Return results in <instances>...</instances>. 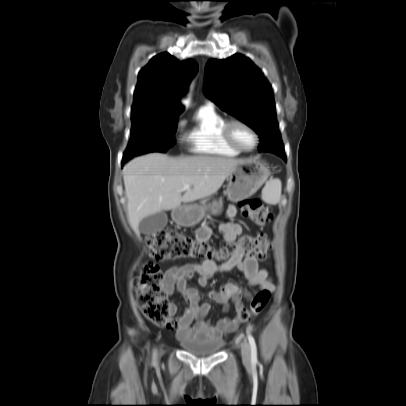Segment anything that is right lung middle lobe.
Instances as JSON below:
<instances>
[{
    "instance_id": "right-lung-middle-lobe-1",
    "label": "right lung middle lobe",
    "mask_w": 406,
    "mask_h": 406,
    "mask_svg": "<svg viewBox=\"0 0 406 406\" xmlns=\"http://www.w3.org/2000/svg\"><path fill=\"white\" fill-rule=\"evenodd\" d=\"M132 130L123 162L149 152H166L175 144L174 134L178 117L131 114Z\"/></svg>"
}]
</instances>
